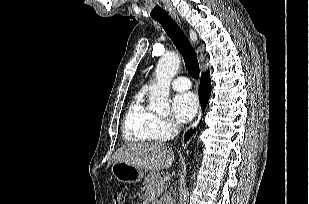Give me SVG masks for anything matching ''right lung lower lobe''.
I'll return each instance as SVG.
<instances>
[{
	"label": "right lung lower lobe",
	"instance_id": "obj_1",
	"mask_svg": "<svg viewBox=\"0 0 309 204\" xmlns=\"http://www.w3.org/2000/svg\"><path fill=\"white\" fill-rule=\"evenodd\" d=\"M199 93H200V101H201V107L203 112L205 111V108L207 106L208 99L211 95V80H210V73L209 71L203 73L201 77V84L199 87ZM193 131H191V134ZM189 132L185 134V137L187 138L189 136Z\"/></svg>",
	"mask_w": 309,
	"mask_h": 204
}]
</instances>
